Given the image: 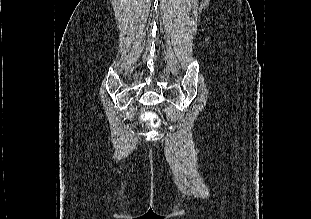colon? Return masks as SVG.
<instances>
[{
  "mask_svg": "<svg viewBox=\"0 0 311 219\" xmlns=\"http://www.w3.org/2000/svg\"><path fill=\"white\" fill-rule=\"evenodd\" d=\"M142 118L148 120L153 127H156L159 124L158 116L151 111L144 112Z\"/></svg>",
  "mask_w": 311,
  "mask_h": 219,
  "instance_id": "obj_1",
  "label": "colon"
}]
</instances>
